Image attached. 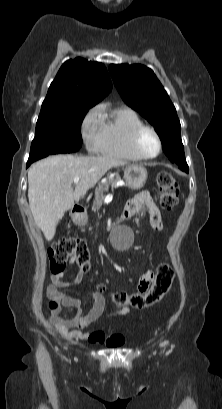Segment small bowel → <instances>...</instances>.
Listing matches in <instances>:
<instances>
[{"instance_id":"1","label":"small bowel","mask_w":222,"mask_h":409,"mask_svg":"<svg viewBox=\"0 0 222 409\" xmlns=\"http://www.w3.org/2000/svg\"><path fill=\"white\" fill-rule=\"evenodd\" d=\"M144 208L147 209L151 227L156 231L163 230L161 214L147 191L141 192L131 199L125 206L122 216L125 218L131 217ZM75 260L71 259L70 263ZM84 272L79 270L74 278L65 280V272L52 274L50 281L46 287L47 295L66 308L80 310L82 306L89 302L90 309L86 313L78 312L70 319H63L56 314L50 316L49 320L53 327L61 334L74 339L86 340L93 344H107L111 347L120 346L123 343L121 336H115L113 341L110 340L111 334H105L102 331L95 329L96 322L100 319L105 310V298L99 292H92L86 298H79L64 293L61 289L72 288L77 286L84 278ZM146 277V278H145ZM155 274L153 270H149L142 275L138 282V288L144 285H150L154 280ZM129 309H122L119 314L126 315ZM111 333V330L109 331Z\"/></svg>"}]
</instances>
